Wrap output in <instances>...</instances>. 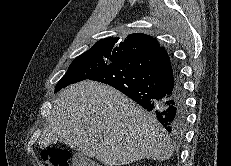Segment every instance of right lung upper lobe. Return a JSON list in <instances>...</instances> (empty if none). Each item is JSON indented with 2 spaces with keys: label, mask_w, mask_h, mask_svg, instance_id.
<instances>
[{
  "label": "right lung upper lobe",
  "mask_w": 231,
  "mask_h": 166,
  "mask_svg": "<svg viewBox=\"0 0 231 166\" xmlns=\"http://www.w3.org/2000/svg\"><path fill=\"white\" fill-rule=\"evenodd\" d=\"M160 48L156 38L145 34H130L125 40L104 38L96 42L91 51L106 53L118 57L119 60L138 56Z\"/></svg>",
  "instance_id": "cb5924a9"
}]
</instances>
